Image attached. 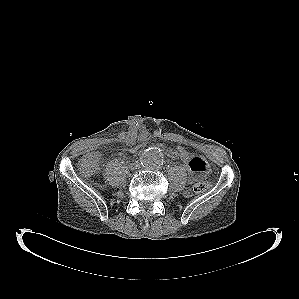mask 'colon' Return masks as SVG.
Instances as JSON below:
<instances>
[{
  "label": "colon",
  "instance_id": "5ec220e1",
  "mask_svg": "<svg viewBox=\"0 0 299 299\" xmlns=\"http://www.w3.org/2000/svg\"><path fill=\"white\" fill-rule=\"evenodd\" d=\"M175 153L179 159L186 165L190 163L193 153L184 148L183 146H176ZM78 171L84 176H91L96 173L98 169L97 155L92 152L83 153L79 156L77 162ZM211 188V184L207 181L195 184L194 191L198 194L204 193Z\"/></svg>",
  "mask_w": 299,
  "mask_h": 299
}]
</instances>
